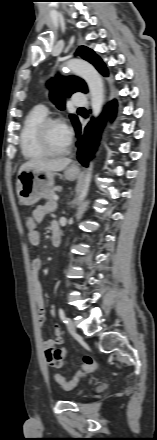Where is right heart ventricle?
Masks as SVG:
<instances>
[{
	"instance_id": "1",
	"label": "right heart ventricle",
	"mask_w": 157,
	"mask_h": 440,
	"mask_svg": "<svg viewBox=\"0 0 157 440\" xmlns=\"http://www.w3.org/2000/svg\"><path fill=\"white\" fill-rule=\"evenodd\" d=\"M46 113L40 108L32 109L25 117L20 131V147L28 159H38L46 156V152L38 145L35 132L37 126L46 119Z\"/></svg>"
}]
</instances>
